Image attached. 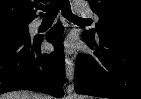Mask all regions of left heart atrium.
Returning <instances> with one entry per match:
<instances>
[{"label":"left heart atrium","instance_id":"39dd6f15","mask_svg":"<svg viewBox=\"0 0 141 99\" xmlns=\"http://www.w3.org/2000/svg\"><path fill=\"white\" fill-rule=\"evenodd\" d=\"M60 48L65 51V52H71L74 48V40L71 37L65 38L61 43H60Z\"/></svg>","mask_w":141,"mask_h":99}]
</instances>
